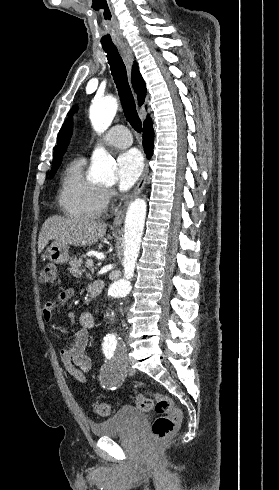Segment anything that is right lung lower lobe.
<instances>
[{
	"label": "right lung lower lobe",
	"instance_id": "1",
	"mask_svg": "<svg viewBox=\"0 0 279 490\" xmlns=\"http://www.w3.org/2000/svg\"><path fill=\"white\" fill-rule=\"evenodd\" d=\"M153 143H154V131L152 128V123L145 126L143 129V146L147 158H151L153 153Z\"/></svg>",
	"mask_w": 279,
	"mask_h": 490
}]
</instances>
